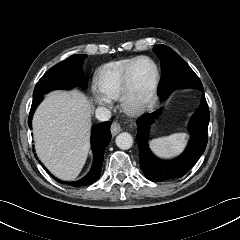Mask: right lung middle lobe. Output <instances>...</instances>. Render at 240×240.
<instances>
[{
    "label": "right lung middle lobe",
    "instance_id": "obj_1",
    "mask_svg": "<svg viewBox=\"0 0 240 240\" xmlns=\"http://www.w3.org/2000/svg\"><path fill=\"white\" fill-rule=\"evenodd\" d=\"M85 54L72 55L48 70L35 86L33 97L44 95L55 89H70L81 80Z\"/></svg>",
    "mask_w": 240,
    "mask_h": 240
}]
</instances>
